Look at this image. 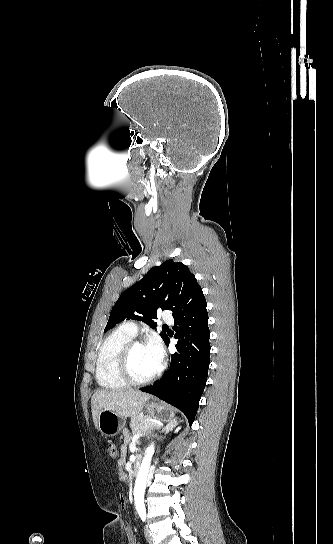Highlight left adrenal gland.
<instances>
[{
	"instance_id": "a2214340",
	"label": "left adrenal gland",
	"mask_w": 333,
	"mask_h": 544,
	"mask_svg": "<svg viewBox=\"0 0 333 544\" xmlns=\"http://www.w3.org/2000/svg\"><path fill=\"white\" fill-rule=\"evenodd\" d=\"M177 424H178V422H177L176 420H173V421L169 422L163 430H164L166 433H168V432L171 431Z\"/></svg>"
}]
</instances>
